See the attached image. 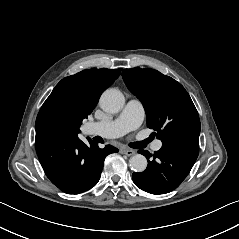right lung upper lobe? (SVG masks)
I'll return each mask as SVG.
<instances>
[{
  "instance_id": "cb5924a9",
  "label": "right lung upper lobe",
  "mask_w": 239,
  "mask_h": 239,
  "mask_svg": "<svg viewBox=\"0 0 239 239\" xmlns=\"http://www.w3.org/2000/svg\"><path fill=\"white\" fill-rule=\"evenodd\" d=\"M121 69H88L62 79L42 105L36 119V133L42 130L44 113L52 106L66 104L91 113L101 92L120 75Z\"/></svg>"
}]
</instances>
